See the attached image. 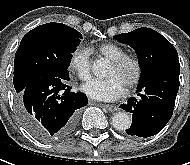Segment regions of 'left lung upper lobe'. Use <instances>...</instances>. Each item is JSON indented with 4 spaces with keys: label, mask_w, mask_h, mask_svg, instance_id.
I'll return each instance as SVG.
<instances>
[{
    "label": "left lung upper lobe",
    "mask_w": 190,
    "mask_h": 165,
    "mask_svg": "<svg viewBox=\"0 0 190 165\" xmlns=\"http://www.w3.org/2000/svg\"><path fill=\"white\" fill-rule=\"evenodd\" d=\"M114 38L136 51L141 67L140 80L160 68L180 66L174 46L153 29L138 28Z\"/></svg>",
    "instance_id": "1"
}]
</instances>
